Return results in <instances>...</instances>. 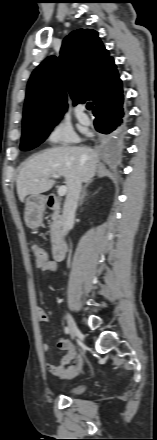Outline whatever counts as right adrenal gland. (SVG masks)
Returning a JSON list of instances; mask_svg holds the SVG:
<instances>
[{"label": "right adrenal gland", "instance_id": "2a0ac1e0", "mask_svg": "<svg viewBox=\"0 0 157 440\" xmlns=\"http://www.w3.org/2000/svg\"><path fill=\"white\" fill-rule=\"evenodd\" d=\"M88 186H89V183H86V184L84 185V187H83V189H82L81 196H80V198H79L78 206H81V205L83 204V199H84V197L88 195L87 192H86Z\"/></svg>", "mask_w": 157, "mask_h": 440}]
</instances>
